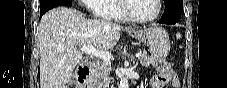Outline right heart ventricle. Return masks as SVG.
I'll return each instance as SVG.
<instances>
[{
	"mask_svg": "<svg viewBox=\"0 0 227 88\" xmlns=\"http://www.w3.org/2000/svg\"><path fill=\"white\" fill-rule=\"evenodd\" d=\"M120 0H95L92 3L94 14L102 19L124 20L118 9Z\"/></svg>",
	"mask_w": 227,
	"mask_h": 88,
	"instance_id": "right-heart-ventricle-1",
	"label": "right heart ventricle"
}]
</instances>
